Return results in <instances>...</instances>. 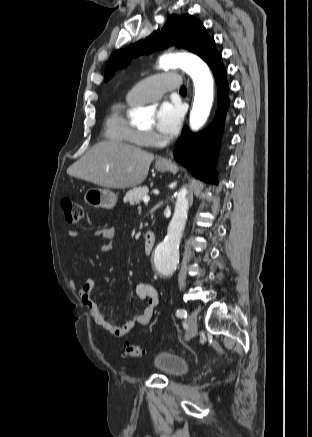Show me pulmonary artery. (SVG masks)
Here are the masks:
<instances>
[{"label":"pulmonary artery","mask_w":312,"mask_h":437,"mask_svg":"<svg viewBox=\"0 0 312 437\" xmlns=\"http://www.w3.org/2000/svg\"><path fill=\"white\" fill-rule=\"evenodd\" d=\"M182 79L175 73H163L146 78L135 84L127 93L126 99L134 103L157 100L168 90L180 87Z\"/></svg>","instance_id":"1"}]
</instances>
